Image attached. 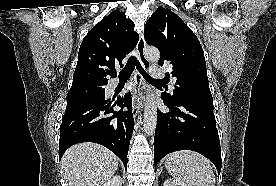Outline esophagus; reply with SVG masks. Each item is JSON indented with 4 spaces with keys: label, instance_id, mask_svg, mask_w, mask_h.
Instances as JSON below:
<instances>
[{
    "label": "esophagus",
    "instance_id": "34e87169",
    "mask_svg": "<svg viewBox=\"0 0 276 186\" xmlns=\"http://www.w3.org/2000/svg\"><path fill=\"white\" fill-rule=\"evenodd\" d=\"M145 38L143 34H140L139 41L137 43V53L139 56V61L144 69H147L150 65V62L145 56ZM145 89V81L139 75V73H135V84H134V96H133V104H132V114L133 117L136 119L140 110L142 108V103L140 101V95L142 94L143 90Z\"/></svg>",
    "mask_w": 276,
    "mask_h": 186
}]
</instances>
